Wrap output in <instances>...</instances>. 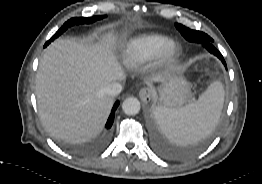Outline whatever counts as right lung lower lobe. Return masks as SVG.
Here are the masks:
<instances>
[{
    "instance_id": "obj_1",
    "label": "right lung lower lobe",
    "mask_w": 262,
    "mask_h": 184,
    "mask_svg": "<svg viewBox=\"0 0 262 184\" xmlns=\"http://www.w3.org/2000/svg\"><path fill=\"white\" fill-rule=\"evenodd\" d=\"M118 105H119V101H117V102L114 104L113 108H112L111 114H110V116H109V118H108V121H107V123H106V126H105L107 129H110L111 126H112V124H113L114 115H115V110L117 109Z\"/></svg>"
}]
</instances>
